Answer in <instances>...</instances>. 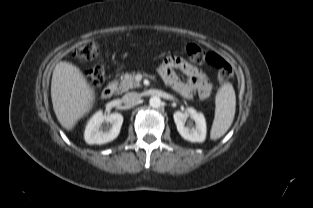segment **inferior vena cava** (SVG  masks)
<instances>
[{
    "label": "inferior vena cava",
    "instance_id": "inferior-vena-cava-1",
    "mask_svg": "<svg viewBox=\"0 0 313 208\" xmlns=\"http://www.w3.org/2000/svg\"><path fill=\"white\" fill-rule=\"evenodd\" d=\"M139 99L140 95L137 92H129L122 97L124 104L127 105L135 104L138 102Z\"/></svg>",
    "mask_w": 313,
    "mask_h": 208
}]
</instances>
